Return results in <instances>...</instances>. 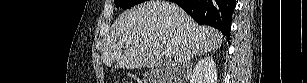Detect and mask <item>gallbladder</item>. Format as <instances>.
<instances>
[{
	"label": "gallbladder",
	"mask_w": 307,
	"mask_h": 83,
	"mask_svg": "<svg viewBox=\"0 0 307 83\" xmlns=\"http://www.w3.org/2000/svg\"><path fill=\"white\" fill-rule=\"evenodd\" d=\"M145 79L148 81V82H151L153 83L157 78V70H153V69H150L148 70L146 73H145Z\"/></svg>",
	"instance_id": "bac80fb5"
}]
</instances>
